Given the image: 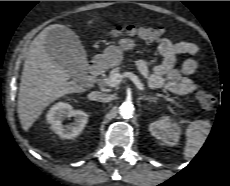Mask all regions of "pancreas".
<instances>
[{
  "mask_svg": "<svg viewBox=\"0 0 230 186\" xmlns=\"http://www.w3.org/2000/svg\"><path fill=\"white\" fill-rule=\"evenodd\" d=\"M119 72H120V67H116V68L112 69V70L110 71L109 77L104 78V79L101 80V82H100L101 85H102V86L108 85L109 80L113 77V75L116 74V73H119ZM158 96H159V97L165 98L166 101H168V102H170V103H172V104L178 105V104L175 102V100H173L172 98H169V97L164 96V95H161V94H158ZM178 106L182 107L181 105H178Z\"/></svg>",
  "mask_w": 230,
  "mask_h": 186,
  "instance_id": "cf45deb5",
  "label": "pancreas"
}]
</instances>
